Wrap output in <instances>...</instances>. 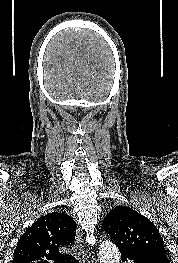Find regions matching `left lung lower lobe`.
<instances>
[{
  "label": "left lung lower lobe",
  "mask_w": 178,
  "mask_h": 263,
  "mask_svg": "<svg viewBox=\"0 0 178 263\" xmlns=\"http://www.w3.org/2000/svg\"><path fill=\"white\" fill-rule=\"evenodd\" d=\"M121 252V261L131 260L134 263H170L165 256H160L148 252H132L126 249H119Z\"/></svg>",
  "instance_id": "obj_1"
}]
</instances>
